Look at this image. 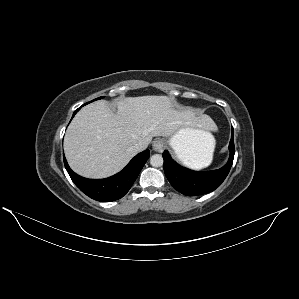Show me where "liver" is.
Segmentation results:
<instances>
[{
    "label": "liver",
    "instance_id": "6515ba94",
    "mask_svg": "<svg viewBox=\"0 0 299 299\" xmlns=\"http://www.w3.org/2000/svg\"><path fill=\"white\" fill-rule=\"evenodd\" d=\"M115 114L105 102L83 107L64 137L70 167L88 178H104L121 169L136 155L133 146L149 144L155 136H172L188 118L175 109L167 96L128 97L117 104ZM198 126H205L203 121ZM216 130V125L212 128Z\"/></svg>",
    "mask_w": 299,
    "mask_h": 299
}]
</instances>
